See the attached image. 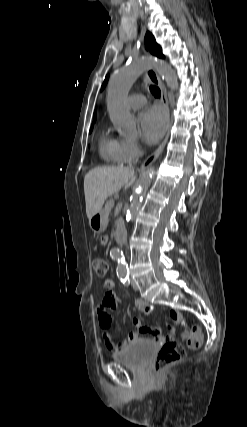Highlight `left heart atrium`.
<instances>
[{"instance_id": "1", "label": "left heart atrium", "mask_w": 247, "mask_h": 427, "mask_svg": "<svg viewBox=\"0 0 247 427\" xmlns=\"http://www.w3.org/2000/svg\"><path fill=\"white\" fill-rule=\"evenodd\" d=\"M139 126L143 139L149 144H154L167 128L166 114L157 106L149 107L141 113Z\"/></svg>"}]
</instances>
